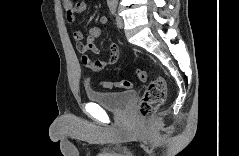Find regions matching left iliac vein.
<instances>
[{
    "label": "left iliac vein",
    "mask_w": 239,
    "mask_h": 156,
    "mask_svg": "<svg viewBox=\"0 0 239 156\" xmlns=\"http://www.w3.org/2000/svg\"><path fill=\"white\" fill-rule=\"evenodd\" d=\"M116 24L120 29H122L124 27L123 18L120 16H116Z\"/></svg>",
    "instance_id": "4c4485c4"
}]
</instances>
